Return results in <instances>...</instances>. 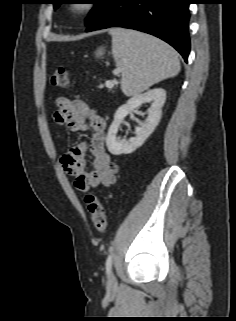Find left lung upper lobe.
I'll list each match as a JSON object with an SVG mask.
<instances>
[{
	"instance_id": "1",
	"label": "left lung upper lobe",
	"mask_w": 236,
	"mask_h": 321,
	"mask_svg": "<svg viewBox=\"0 0 236 321\" xmlns=\"http://www.w3.org/2000/svg\"><path fill=\"white\" fill-rule=\"evenodd\" d=\"M62 0H52L51 2L56 9L62 2ZM92 4H95L94 8L90 11L89 17L86 19V26H88L98 15H100L110 4L112 0H88Z\"/></svg>"
}]
</instances>
